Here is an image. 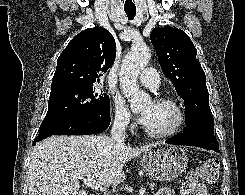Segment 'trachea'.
Masks as SVG:
<instances>
[{
    "label": "trachea",
    "instance_id": "1",
    "mask_svg": "<svg viewBox=\"0 0 245 195\" xmlns=\"http://www.w3.org/2000/svg\"><path fill=\"white\" fill-rule=\"evenodd\" d=\"M126 14H127V17L132 20L134 19L135 17V14H136V7H129V8H124Z\"/></svg>",
    "mask_w": 245,
    "mask_h": 195
}]
</instances>
